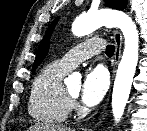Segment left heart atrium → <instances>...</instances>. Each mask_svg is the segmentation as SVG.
Instances as JSON below:
<instances>
[{
  "label": "left heart atrium",
  "mask_w": 147,
  "mask_h": 131,
  "mask_svg": "<svg viewBox=\"0 0 147 131\" xmlns=\"http://www.w3.org/2000/svg\"><path fill=\"white\" fill-rule=\"evenodd\" d=\"M109 85L108 75L101 67L89 70L81 86V100L87 106L97 105L104 97Z\"/></svg>",
  "instance_id": "39dd6f15"
}]
</instances>
